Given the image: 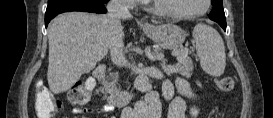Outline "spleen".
<instances>
[{
	"label": "spleen",
	"mask_w": 273,
	"mask_h": 118,
	"mask_svg": "<svg viewBox=\"0 0 273 118\" xmlns=\"http://www.w3.org/2000/svg\"><path fill=\"white\" fill-rule=\"evenodd\" d=\"M193 37L202 69L211 76H221L226 66V54L220 34L211 26L199 23L193 30Z\"/></svg>",
	"instance_id": "obj_1"
}]
</instances>
